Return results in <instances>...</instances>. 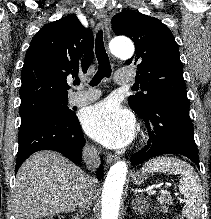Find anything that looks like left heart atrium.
Segmentation results:
<instances>
[{"instance_id":"39dd6f15","label":"left heart atrium","mask_w":211,"mask_h":219,"mask_svg":"<svg viewBox=\"0 0 211 219\" xmlns=\"http://www.w3.org/2000/svg\"><path fill=\"white\" fill-rule=\"evenodd\" d=\"M82 124L89 136L109 148L128 145L135 134L132 114L111 100L88 108Z\"/></svg>"}]
</instances>
